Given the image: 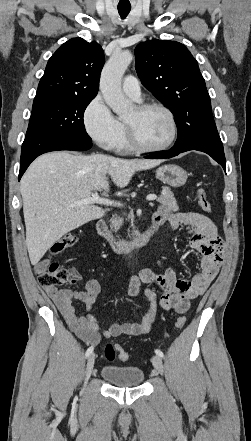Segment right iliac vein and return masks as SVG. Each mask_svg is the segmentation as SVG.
<instances>
[{"label":"right iliac vein","instance_id":"right-iliac-vein-1","mask_svg":"<svg viewBox=\"0 0 251 441\" xmlns=\"http://www.w3.org/2000/svg\"><path fill=\"white\" fill-rule=\"evenodd\" d=\"M94 363H95V354H92L89 356L88 360H87V364H86V370H85V380L87 381L93 371L94 368Z\"/></svg>","mask_w":251,"mask_h":441}]
</instances>
